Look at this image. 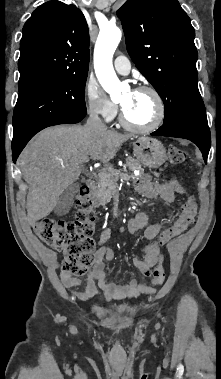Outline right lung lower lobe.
Masks as SVG:
<instances>
[{"label": "right lung lower lobe", "mask_w": 221, "mask_h": 379, "mask_svg": "<svg viewBox=\"0 0 221 379\" xmlns=\"http://www.w3.org/2000/svg\"><path fill=\"white\" fill-rule=\"evenodd\" d=\"M85 116H79V117H74V116H69L59 122V124H64V123H77L81 121ZM30 140V139H29ZM29 140H26L24 142H18V143H12V157L13 161L16 162L17 157L19 156L20 152L22 149L25 147L27 142Z\"/></svg>", "instance_id": "98d812e1"}]
</instances>
